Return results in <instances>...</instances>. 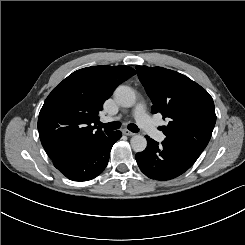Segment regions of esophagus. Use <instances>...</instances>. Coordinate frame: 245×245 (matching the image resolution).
<instances>
[{
    "label": "esophagus",
    "mask_w": 245,
    "mask_h": 245,
    "mask_svg": "<svg viewBox=\"0 0 245 245\" xmlns=\"http://www.w3.org/2000/svg\"><path fill=\"white\" fill-rule=\"evenodd\" d=\"M122 133H123L124 135H127V136H132V135H134V133L131 132V131L128 130V129H122Z\"/></svg>",
    "instance_id": "obj_1"
}]
</instances>
